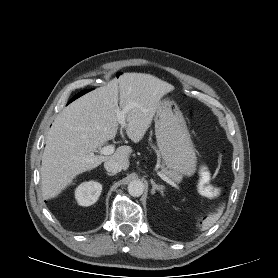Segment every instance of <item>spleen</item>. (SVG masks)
<instances>
[{
    "label": "spleen",
    "mask_w": 278,
    "mask_h": 278,
    "mask_svg": "<svg viewBox=\"0 0 278 278\" xmlns=\"http://www.w3.org/2000/svg\"><path fill=\"white\" fill-rule=\"evenodd\" d=\"M223 209H224V205H221V207H219V208L217 209V212H216L215 214L208 216V217L202 222L201 230L204 231V230L209 229L211 226H213L214 223H216V221H217V220L220 218V216L222 215Z\"/></svg>",
    "instance_id": "1"
}]
</instances>
